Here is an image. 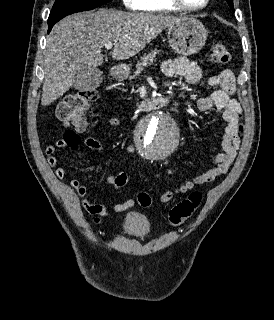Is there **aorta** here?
Masks as SVG:
<instances>
[{"mask_svg": "<svg viewBox=\"0 0 274 320\" xmlns=\"http://www.w3.org/2000/svg\"><path fill=\"white\" fill-rule=\"evenodd\" d=\"M137 142L149 160H162L170 156L179 143L178 128L168 114L157 113L141 123Z\"/></svg>", "mask_w": 274, "mask_h": 320, "instance_id": "obj_1", "label": "aorta"}]
</instances>
